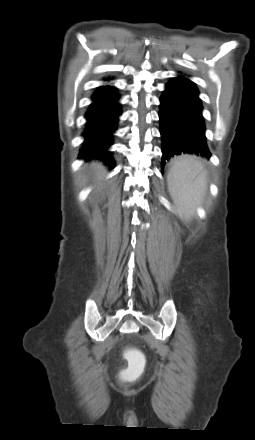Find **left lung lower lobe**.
Returning <instances> with one entry per match:
<instances>
[{
    "instance_id": "left-lung-lower-lobe-1",
    "label": "left lung lower lobe",
    "mask_w": 255,
    "mask_h": 440,
    "mask_svg": "<svg viewBox=\"0 0 255 440\" xmlns=\"http://www.w3.org/2000/svg\"><path fill=\"white\" fill-rule=\"evenodd\" d=\"M202 110L199 91L190 79L179 76L166 84L159 111L163 167L182 153L211 156Z\"/></svg>"
}]
</instances>
